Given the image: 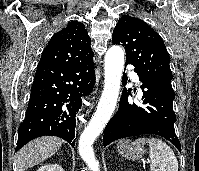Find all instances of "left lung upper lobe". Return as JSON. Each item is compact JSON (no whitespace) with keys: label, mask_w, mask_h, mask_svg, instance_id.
Listing matches in <instances>:
<instances>
[{"label":"left lung upper lobe","mask_w":199,"mask_h":171,"mask_svg":"<svg viewBox=\"0 0 199 171\" xmlns=\"http://www.w3.org/2000/svg\"><path fill=\"white\" fill-rule=\"evenodd\" d=\"M112 43L125 47L126 64H132L138 75L173 91L169 54L162 38L147 23L123 16L114 28Z\"/></svg>","instance_id":"obj_1"}]
</instances>
